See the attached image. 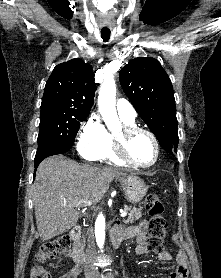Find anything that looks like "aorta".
I'll return each mask as SVG.
<instances>
[{
	"mask_svg": "<svg viewBox=\"0 0 221 278\" xmlns=\"http://www.w3.org/2000/svg\"><path fill=\"white\" fill-rule=\"evenodd\" d=\"M115 97V80L113 77H108L102 83L98 96L99 111L108 127H111L112 122L118 120ZM95 238L99 249H103L105 243V217L102 213L97 216L95 221Z\"/></svg>",
	"mask_w": 221,
	"mask_h": 278,
	"instance_id": "762f6f07",
	"label": "aorta"
}]
</instances>
